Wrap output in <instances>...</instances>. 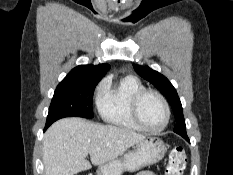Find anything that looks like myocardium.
I'll use <instances>...</instances> for the list:
<instances>
[{
  "label": "myocardium",
  "mask_w": 233,
  "mask_h": 175,
  "mask_svg": "<svg viewBox=\"0 0 233 175\" xmlns=\"http://www.w3.org/2000/svg\"><path fill=\"white\" fill-rule=\"evenodd\" d=\"M149 94L155 95L156 97L159 98V100L161 101L162 106L164 108V111H165V121H164L163 125L157 129H152V128L146 126L140 117V112H139L140 103H141L142 99L146 95H149ZM130 112H131V116H132L134 122L142 130L150 132V133H159V132L163 131L167 127V125L169 124L170 116H171L170 107H169L168 101L166 100L164 95L157 90L148 89V88H144V89H142L134 94V96L132 97V100H131V104H130Z\"/></svg>",
  "instance_id": "myocardium-1"
}]
</instances>
